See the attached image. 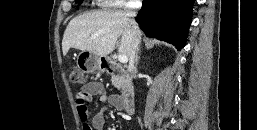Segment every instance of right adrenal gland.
I'll use <instances>...</instances> for the list:
<instances>
[{
    "instance_id": "obj_1",
    "label": "right adrenal gland",
    "mask_w": 257,
    "mask_h": 130,
    "mask_svg": "<svg viewBox=\"0 0 257 130\" xmlns=\"http://www.w3.org/2000/svg\"><path fill=\"white\" fill-rule=\"evenodd\" d=\"M137 54H138V53H137ZM138 60H139V56H137V59H136V64H137Z\"/></svg>"
}]
</instances>
